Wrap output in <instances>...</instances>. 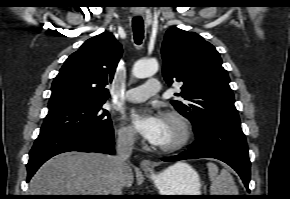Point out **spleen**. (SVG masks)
I'll list each match as a JSON object with an SVG mask.
<instances>
[{
  "label": "spleen",
  "instance_id": "3e777b00",
  "mask_svg": "<svg viewBox=\"0 0 290 199\" xmlns=\"http://www.w3.org/2000/svg\"><path fill=\"white\" fill-rule=\"evenodd\" d=\"M209 178L211 181V195H238V190L231 174L223 169L218 174V166L212 162L207 163Z\"/></svg>",
  "mask_w": 290,
  "mask_h": 199
}]
</instances>
